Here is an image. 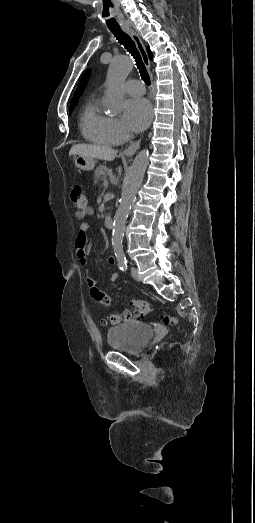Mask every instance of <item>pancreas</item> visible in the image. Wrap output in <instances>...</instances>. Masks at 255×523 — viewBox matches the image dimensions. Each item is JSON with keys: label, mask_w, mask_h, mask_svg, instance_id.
Listing matches in <instances>:
<instances>
[{"label": "pancreas", "mask_w": 255, "mask_h": 523, "mask_svg": "<svg viewBox=\"0 0 255 523\" xmlns=\"http://www.w3.org/2000/svg\"><path fill=\"white\" fill-rule=\"evenodd\" d=\"M109 172H111V170H109V168H106V166H99V168H96V170H94V174H95V180H94V184H98V182H102V180H104L107 176V174H109Z\"/></svg>", "instance_id": "cf45deb5"}]
</instances>
